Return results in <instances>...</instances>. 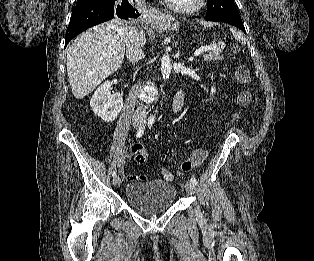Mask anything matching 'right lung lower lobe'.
I'll use <instances>...</instances> for the list:
<instances>
[{"label":"right lung lower lobe","instance_id":"right-lung-lower-lobe-1","mask_svg":"<svg viewBox=\"0 0 314 261\" xmlns=\"http://www.w3.org/2000/svg\"><path fill=\"white\" fill-rule=\"evenodd\" d=\"M116 15L126 19L137 18L139 13L134 11L127 0H89L76 5L66 31L65 45L84 30L111 20Z\"/></svg>","mask_w":314,"mask_h":261}]
</instances>
